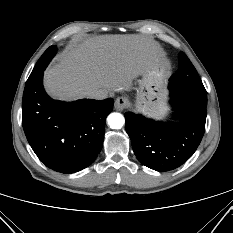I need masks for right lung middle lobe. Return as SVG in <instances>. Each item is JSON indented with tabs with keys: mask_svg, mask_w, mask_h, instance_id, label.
Instances as JSON below:
<instances>
[{
	"mask_svg": "<svg viewBox=\"0 0 233 233\" xmlns=\"http://www.w3.org/2000/svg\"><path fill=\"white\" fill-rule=\"evenodd\" d=\"M56 53V47L55 46H50L45 52L44 54L40 57V59L38 60V62L36 63L32 73L30 74L29 78L27 81H31L34 78H36L42 71H44V69L46 68V66L48 65V63L50 62V60L52 59V57L55 55Z\"/></svg>",
	"mask_w": 233,
	"mask_h": 233,
	"instance_id": "right-lung-middle-lobe-1",
	"label": "right lung middle lobe"
}]
</instances>
